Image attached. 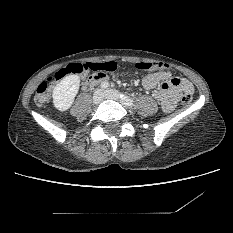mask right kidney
Listing matches in <instances>:
<instances>
[{
  "label": "right kidney",
  "mask_w": 233,
  "mask_h": 233,
  "mask_svg": "<svg viewBox=\"0 0 233 233\" xmlns=\"http://www.w3.org/2000/svg\"><path fill=\"white\" fill-rule=\"evenodd\" d=\"M80 78L78 75L72 74L65 76L53 90V105L63 112L68 110L79 91Z\"/></svg>",
  "instance_id": "ca27d5eb"
}]
</instances>
